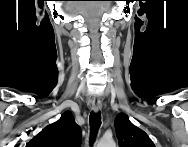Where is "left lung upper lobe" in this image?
<instances>
[{
  "mask_svg": "<svg viewBox=\"0 0 188 147\" xmlns=\"http://www.w3.org/2000/svg\"><path fill=\"white\" fill-rule=\"evenodd\" d=\"M115 129L119 147H155L149 136L133 125L125 114L116 117Z\"/></svg>",
  "mask_w": 188,
  "mask_h": 147,
  "instance_id": "5c2ea615",
  "label": "left lung upper lobe"
}]
</instances>
